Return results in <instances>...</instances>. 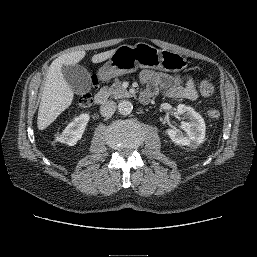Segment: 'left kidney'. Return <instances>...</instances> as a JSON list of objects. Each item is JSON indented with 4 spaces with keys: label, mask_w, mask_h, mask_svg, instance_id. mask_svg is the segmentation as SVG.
Masks as SVG:
<instances>
[{
    "label": "left kidney",
    "mask_w": 257,
    "mask_h": 257,
    "mask_svg": "<svg viewBox=\"0 0 257 257\" xmlns=\"http://www.w3.org/2000/svg\"><path fill=\"white\" fill-rule=\"evenodd\" d=\"M177 113L183 115L188 121H182L181 129H167L166 134L177 145L197 147L205 140L206 125L202 116L197 113L192 107L185 104L177 106Z\"/></svg>",
    "instance_id": "obj_1"
}]
</instances>
